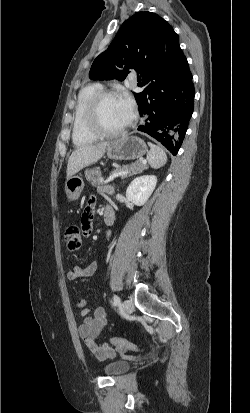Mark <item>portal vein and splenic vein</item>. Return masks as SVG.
I'll return each instance as SVG.
<instances>
[{"mask_svg":"<svg viewBox=\"0 0 250 413\" xmlns=\"http://www.w3.org/2000/svg\"><path fill=\"white\" fill-rule=\"evenodd\" d=\"M129 171H118V172H114L112 175L109 176L108 179H106L105 181H103L102 183L107 184L111 181H113L116 177L118 176H122V175H126L128 174Z\"/></svg>","mask_w":250,"mask_h":413,"instance_id":"18ae733b","label":"portal vein and splenic vein"}]
</instances>
